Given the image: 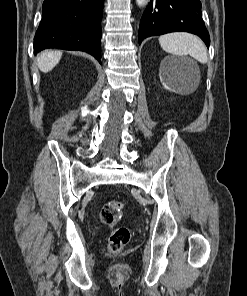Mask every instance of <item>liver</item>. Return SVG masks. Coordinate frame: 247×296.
<instances>
[{
    "label": "liver",
    "mask_w": 247,
    "mask_h": 296,
    "mask_svg": "<svg viewBox=\"0 0 247 296\" xmlns=\"http://www.w3.org/2000/svg\"><path fill=\"white\" fill-rule=\"evenodd\" d=\"M62 52L58 50L44 51L37 57L38 67L43 73L52 70L60 61Z\"/></svg>",
    "instance_id": "liver-1"
}]
</instances>
